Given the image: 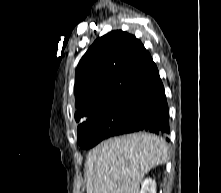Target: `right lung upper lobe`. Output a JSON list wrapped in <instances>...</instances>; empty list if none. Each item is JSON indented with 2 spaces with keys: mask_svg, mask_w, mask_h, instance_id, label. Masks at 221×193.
I'll list each match as a JSON object with an SVG mask.
<instances>
[{
  "mask_svg": "<svg viewBox=\"0 0 221 193\" xmlns=\"http://www.w3.org/2000/svg\"><path fill=\"white\" fill-rule=\"evenodd\" d=\"M160 76L143 44L117 30L99 37L81 58L75 75L76 121L121 99L147 100Z\"/></svg>",
  "mask_w": 221,
  "mask_h": 193,
  "instance_id": "cb5924a9",
  "label": "right lung upper lobe"
}]
</instances>
